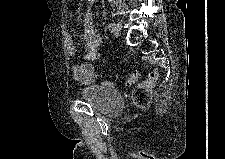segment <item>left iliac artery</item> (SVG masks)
<instances>
[{
  "label": "left iliac artery",
  "instance_id": "left-iliac-artery-1",
  "mask_svg": "<svg viewBox=\"0 0 225 159\" xmlns=\"http://www.w3.org/2000/svg\"><path fill=\"white\" fill-rule=\"evenodd\" d=\"M114 25H115L114 23H110V24L108 25V29L112 31L113 28H114Z\"/></svg>",
  "mask_w": 225,
  "mask_h": 159
}]
</instances>
